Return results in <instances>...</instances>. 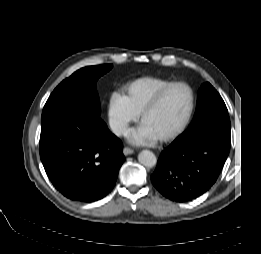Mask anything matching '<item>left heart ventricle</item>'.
Returning a JSON list of instances; mask_svg holds the SVG:
<instances>
[{"label": "left heart ventricle", "mask_w": 261, "mask_h": 254, "mask_svg": "<svg viewBox=\"0 0 261 254\" xmlns=\"http://www.w3.org/2000/svg\"><path fill=\"white\" fill-rule=\"evenodd\" d=\"M188 102L189 94L184 87L172 88L145 116L142 126L154 137L172 131L184 116Z\"/></svg>", "instance_id": "left-heart-ventricle-1"}]
</instances>
